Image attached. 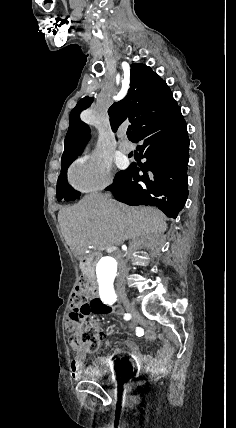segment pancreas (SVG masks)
<instances>
[{
  "label": "pancreas",
  "mask_w": 236,
  "mask_h": 428,
  "mask_svg": "<svg viewBox=\"0 0 236 428\" xmlns=\"http://www.w3.org/2000/svg\"><path fill=\"white\" fill-rule=\"evenodd\" d=\"M83 268H85L84 264H81V270H83Z\"/></svg>",
  "instance_id": "cf45deb5"
}]
</instances>
